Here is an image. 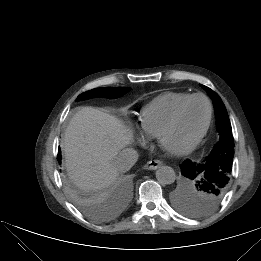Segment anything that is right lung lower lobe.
I'll return each mask as SVG.
<instances>
[{
  "label": "right lung lower lobe",
  "mask_w": 261,
  "mask_h": 261,
  "mask_svg": "<svg viewBox=\"0 0 261 261\" xmlns=\"http://www.w3.org/2000/svg\"><path fill=\"white\" fill-rule=\"evenodd\" d=\"M58 160H61V155H60V151L58 152Z\"/></svg>",
  "instance_id": "right-lung-lower-lobe-1"
}]
</instances>
